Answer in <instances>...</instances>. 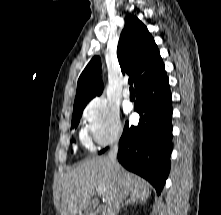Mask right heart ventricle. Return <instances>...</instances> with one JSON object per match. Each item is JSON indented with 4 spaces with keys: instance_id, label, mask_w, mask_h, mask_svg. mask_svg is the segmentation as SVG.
Listing matches in <instances>:
<instances>
[{
    "instance_id": "right-heart-ventricle-1",
    "label": "right heart ventricle",
    "mask_w": 221,
    "mask_h": 215,
    "mask_svg": "<svg viewBox=\"0 0 221 215\" xmlns=\"http://www.w3.org/2000/svg\"><path fill=\"white\" fill-rule=\"evenodd\" d=\"M81 140H82V142L85 144V145H89V139H88V137L86 136V134L85 133H82L81 134Z\"/></svg>"
}]
</instances>
